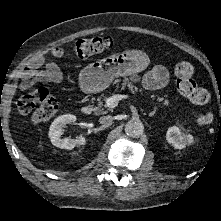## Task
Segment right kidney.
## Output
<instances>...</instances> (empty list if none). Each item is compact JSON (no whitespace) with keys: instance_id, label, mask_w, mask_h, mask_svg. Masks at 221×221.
<instances>
[{"instance_id":"obj_1","label":"right kidney","mask_w":221,"mask_h":221,"mask_svg":"<svg viewBox=\"0 0 221 221\" xmlns=\"http://www.w3.org/2000/svg\"><path fill=\"white\" fill-rule=\"evenodd\" d=\"M76 119V116L72 114H65L57 117L52 122L48 136L54 146L61 149L72 150L76 146L85 144V137L82 135L75 139L61 138V135L63 134V127H65L66 124L74 123Z\"/></svg>"}]
</instances>
